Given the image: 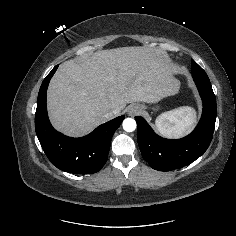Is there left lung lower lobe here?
<instances>
[{
    "mask_svg": "<svg viewBox=\"0 0 236 236\" xmlns=\"http://www.w3.org/2000/svg\"><path fill=\"white\" fill-rule=\"evenodd\" d=\"M198 88L203 112L196 128L186 137L176 140L158 136L144 118L136 116L138 145L143 158L153 169L171 171L199 158L209 147L216 121V98L207 74H192Z\"/></svg>",
    "mask_w": 236,
    "mask_h": 236,
    "instance_id": "left-lung-lower-lobe-1",
    "label": "left lung lower lobe"
}]
</instances>
